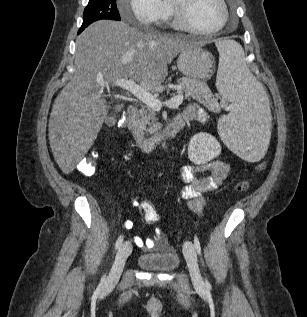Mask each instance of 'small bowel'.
Returning <instances> with one entry per match:
<instances>
[{
    "instance_id": "obj_1",
    "label": "small bowel",
    "mask_w": 307,
    "mask_h": 317,
    "mask_svg": "<svg viewBox=\"0 0 307 317\" xmlns=\"http://www.w3.org/2000/svg\"><path fill=\"white\" fill-rule=\"evenodd\" d=\"M182 116L188 119L197 118L205 122L208 118L207 113L196 105L189 106ZM132 158L131 153L125 155V159ZM229 164L224 161H212L201 166H183L178 171V176L183 183L180 194L188 199V207L193 212L199 213L205 205V194L216 190L227 177ZM132 222L125 223L126 228L132 227ZM135 243L146 250L154 248L156 245L165 247L162 233L156 231L152 238H135Z\"/></svg>"
}]
</instances>
